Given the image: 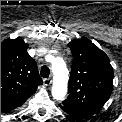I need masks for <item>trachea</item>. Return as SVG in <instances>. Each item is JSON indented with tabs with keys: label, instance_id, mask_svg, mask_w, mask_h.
Listing matches in <instances>:
<instances>
[{
	"label": "trachea",
	"instance_id": "1",
	"mask_svg": "<svg viewBox=\"0 0 122 122\" xmlns=\"http://www.w3.org/2000/svg\"><path fill=\"white\" fill-rule=\"evenodd\" d=\"M40 74L43 78H48L50 74V69L47 66H42Z\"/></svg>",
	"mask_w": 122,
	"mask_h": 122
}]
</instances>
